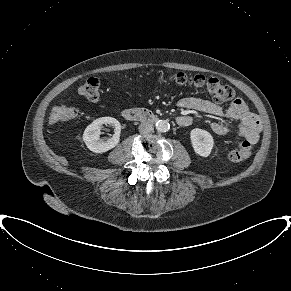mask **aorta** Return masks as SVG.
I'll use <instances>...</instances> for the list:
<instances>
[{
	"label": "aorta",
	"mask_w": 291,
	"mask_h": 291,
	"mask_svg": "<svg viewBox=\"0 0 291 291\" xmlns=\"http://www.w3.org/2000/svg\"><path fill=\"white\" fill-rule=\"evenodd\" d=\"M155 126L159 132H167L170 129V124L165 120H158Z\"/></svg>",
	"instance_id": "762f6f07"
}]
</instances>
